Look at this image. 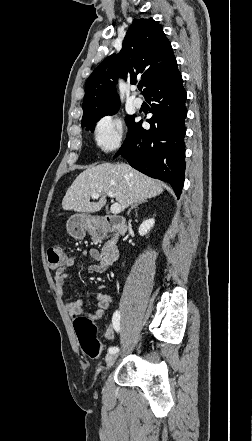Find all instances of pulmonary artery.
<instances>
[{
  "mask_svg": "<svg viewBox=\"0 0 252 441\" xmlns=\"http://www.w3.org/2000/svg\"><path fill=\"white\" fill-rule=\"evenodd\" d=\"M142 104H143V101H142L141 98H139V97H135V98L133 99V105H134L135 108H137V109L141 108V107H142Z\"/></svg>",
  "mask_w": 252,
  "mask_h": 441,
  "instance_id": "1",
  "label": "pulmonary artery"
}]
</instances>
